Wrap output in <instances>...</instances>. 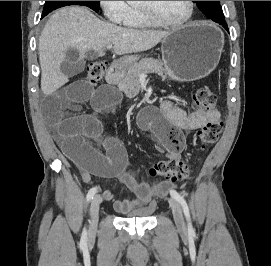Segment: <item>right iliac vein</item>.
Instances as JSON below:
<instances>
[{"instance_id":"right-iliac-vein-1","label":"right iliac vein","mask_w":271,"mask_h":266,"mask_svg":"<svg viewBox=\"0 0 271 266\" xmlns=\"http://www.w3.org/2000/svg\"><path fill=\"white\" fill-rule=\"evenodd\" d=\"M102 203V197L100 195H96L90 204V216H91V224H90V236H94L97 231L98 226V213L99 207Z\"/></svg>"}]
</instances>
